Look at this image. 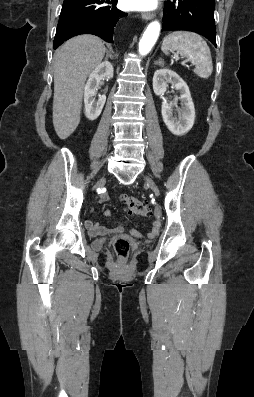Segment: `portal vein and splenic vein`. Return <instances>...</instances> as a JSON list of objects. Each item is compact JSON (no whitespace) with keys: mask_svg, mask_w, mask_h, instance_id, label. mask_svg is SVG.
<instances>
[{"mask_svg":"<svg viewBox=\"0 0 254 397\" xmlns=\"http://www.w3.org/2000/svg\"><path fill=\"white\" fill-rule=\"evenodd\" d=\"M183 65L186 64V61L181 62ZM187 67H189V65L186 64Z\"/></svg>","mask_w":254,"mask_h":397,"instance_id":"1","label":"portal vein and splenic vein"}]
</instances>
